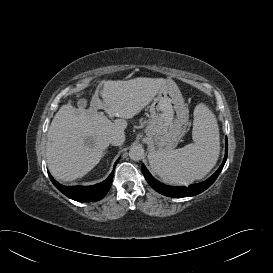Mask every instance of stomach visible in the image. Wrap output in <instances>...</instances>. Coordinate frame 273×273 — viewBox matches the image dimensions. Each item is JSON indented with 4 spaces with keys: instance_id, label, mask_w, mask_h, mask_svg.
<instances>
[{
    "instance_id": "stomach-1",
    "label": "stomach",
    "mask_w": 273,
    "mask_h": 273,
    "mask_svg": "<svg viewBox=\"0 0 273 273\" xmlns=\"http://www.w3.org/2000/svg\"><path fill=\"white\" fill-rule=\"evenodd\" d=\"M151 121L146 135L158 150L174 149L188 125V108L178 86L171 80L161 87L150 105Z\"/></svg>"
}]
</instances>
